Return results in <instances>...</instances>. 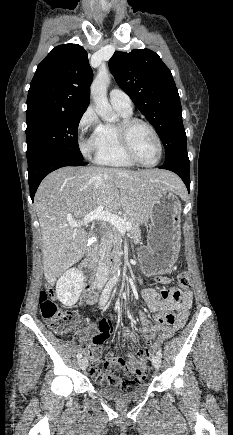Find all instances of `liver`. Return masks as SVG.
Segmentation results:
<instances>
[{
  "mask_svg": "<svg viewBox=\"0 0 233 435\" xmlns=\"http://www.w3.org/2000/svg\"><path fill=\"white\" fill-rule=\"evenodd\" d=\"M184 186L166 170L140 171L104 167H63L41 182L34 199L42 234L43 268L52 284L86 251L88 234L69 222L83 218L102 205L107 212L146 222L158 196L167 191L183 195Z\"/></svg>",
  "mask_w": 233,
  "mask_h": 435,
  "instance_id": "1",
  "label": "liver"
}]
</instances>
